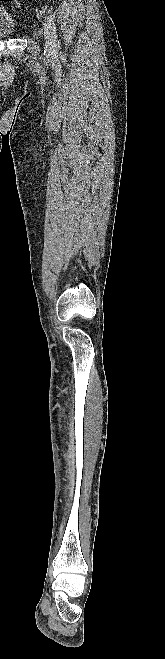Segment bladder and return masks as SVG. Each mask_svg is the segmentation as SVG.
<instances>
[{"mask_svg": "<svg viewBox=\"0 0 165 659\" xmlns=\"http://www.w3.org/2000/svg\"><path fill=\"white\" fill-rule=\"evenodd\" d=\"M16 34V23L9 11L0 6V38H11Z\"/></svg>", "mask_w": 165, "mask_h": 659, "instance_id": "bladder-1", "label": "bladder"}]
</instances>
